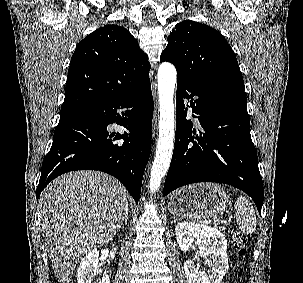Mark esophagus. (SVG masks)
Listing matches in <instances>:
<instances>
[{
    "mask_svg": "<svg viewBox=\"0 0 303 283\" xmlns=\"http://www.w3.org/2000/svg\"><path fill=\"white\" fill-rule=\"evenodd\" d=\"M155 129H156V119L154 118V124H153V134H155Z\"/></svg>",
    "mask_w": 303,
    "mask_h": 283,
    "instance_id": "esophagus-1",
    "label": "esophagus"
}]
</instances>
